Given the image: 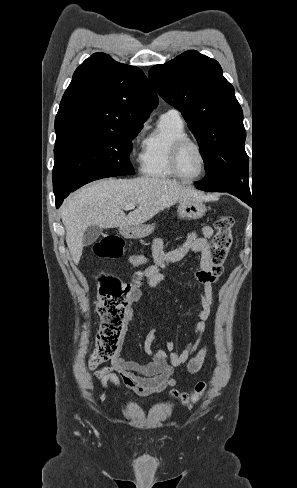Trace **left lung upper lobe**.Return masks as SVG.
Returning a JSON list of instances; mask_svg holds the SVG:
<instances>
[{
  "mask_svg": "<svg viewBox=\"0 0 297 488\" xmlns=\"http://www.w3.org/2000/svg\"><path fill=\"white\" fill-rule=\"evenodd\" d=\"M156 92L178 109L205 159L197 188L251 197L243 112L219 63L190 50L148 74Z\"/></svg>",
  "mask_w": 297,
  "mask_h": 488,
  "instance_id": "left-lung-upper-lobe-1",
  "label": "left lung upper lobe"
}]
</instances>
